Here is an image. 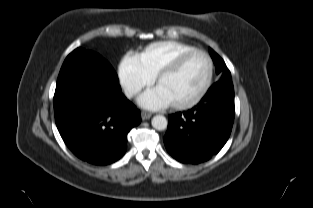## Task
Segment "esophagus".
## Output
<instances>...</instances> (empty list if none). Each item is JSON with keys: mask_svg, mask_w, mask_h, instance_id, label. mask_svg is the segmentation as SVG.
Here are the masks:
<instances>
[{"mask_svg": "<svg viewBox=\"0 0 313 208\" xmlns=\"http://www.w3.org/2000/svg\"><path fill=\"white\" fill-rule=\"evenodd\" d=\"M151 116H152V114L149 113V112L143 111V112L141 113L142 120H148V119L151 118Z\"/></svg>", "mask_w": 313, "mask_h": 208, "instance_id": "34e87169", "label": "esophagus"}]
</instances>
